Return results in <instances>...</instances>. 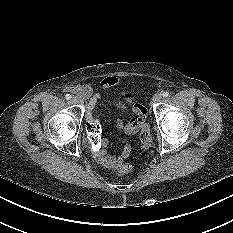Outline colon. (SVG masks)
<instances>
[{"instance_id":"colon-1","label":"colon","mask_w":233,"mask_h":233,"mask_svg":"<svg viewBox=\"0 0 233 233\" xmlns=\"http://www.w3.org/2000/svg\"><path fill=\"white\" fill-rule=\"evenodd\" d=\"M141 132H140V141L144 148H147L151 144V135H150V128L148 124L143 122L141 124ZM86 132L88 133L87 143L90 147L95 148L99 145L101 140V131L99 127L90 122L85 127ZM132 170V167L129 164H123L121 167L116 169L117 173L119 174H128Z\"/></svg>"}]
</instances>
